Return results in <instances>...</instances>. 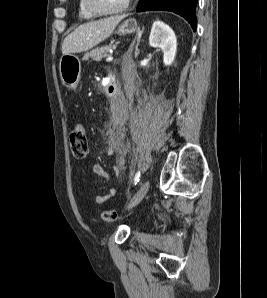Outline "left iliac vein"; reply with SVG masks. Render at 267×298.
I'll use <instances>...</instances> for the list:
<instances>
[{
  "instance_id": "obj_1",
  "label": "left iliac vein",
  "mask_w": 267,
  "mask_h": 298,
  "mask_svg": "<svg viewBox=\"0 0 267 298\" xmlns=\"http://www.w3.org/2000/svg\"><path fill=\"white\" fill-rule=\"evenodd\" d=\"M149 188H150V181L147 180L141 185L139 190L131 198V200L128 203L127 208L130 209V208H133L134 206H136L137 204H139L141 202V200L144 198V196L147 194Z\"/></svg>"
}]
</instances>
